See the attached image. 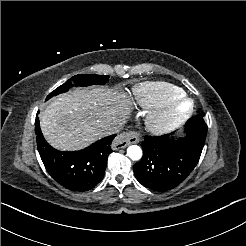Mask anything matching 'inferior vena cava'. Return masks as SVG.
<instances>
[{
  "instance_id": "1",
  "label": "inferior vena cava",
  "mask_w": 246,
  "mask_h": 246,
  "mask_svg": "<svg viewBox=\"0 0 246 246\" xmlns=\"http://www.w3.org/2000/svg\"><path fill=\"white\" fill-rule=\"evenodd\" d=\"M122 126H114L110 129V131L108 132V134H116L121 130Z\"/></svg>"
}]
</instances>
